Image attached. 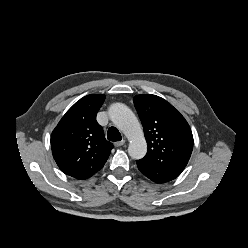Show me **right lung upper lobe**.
<instances>
[{"label": "right lung upper lobe", "instance_id": "obj_1", "mask_svg": "<svg viewBox=\"0 0 248 248\" xmlns=\"http://www.w3.org/2000/svg\"><path fill=\"white\" fill-rule=\"evenodd\" d=\"M104 100L101 94L81 98L52 132V154L58 167L76 179H87L102 169L113 148L96 121Z\"/></svg>", "mask_w": 248, "mask_h": 248}]
</instances>
